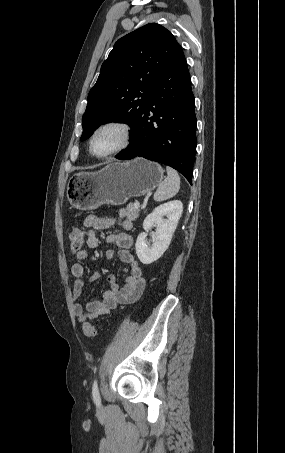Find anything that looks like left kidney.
Masks as SVG:
<instances>
[{
  "label": "left kidney",
  "mask_w": 285,
  "mask_h": 453,
  "mask_svg": "<svg viewBox=\"0 0 285 453\" xmlns=\"http://www.w3.org/2000/svg\"><path fill=\"white\" fill-rule=\"evenodd\" d=\"M183 212L180 200L164 203L152 211L143 222L144 232L136 240V254L143 264H151L158 260L170 245L173 233ZM166 217V218H164ZM156 225L157 230L154 242L150 246L146 243L147 232Z\"/></svg>",
  "instance_id": "obj_1"
}]
</instances>
